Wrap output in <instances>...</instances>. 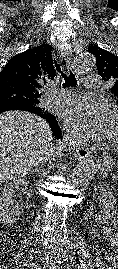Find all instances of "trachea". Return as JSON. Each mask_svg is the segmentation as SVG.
<instances>
[{
	"label": "trachea",
	"mask_w": 118,
	"mask_h": 269,
	"mask_svg": "<svg viewBox=\"0 0 118 269\" xmlns=\"http://www.w3.org/2000/svg\"><path fill=\"white\" fill-rule=\"evenodd\" d=\"M56 69L58 72H60L61 76L64 78V83H63V88L67 87H76L77 86V80L75 75L71 72L68 71L66 68V62L64 58L61 60H54Z\"/></svg>",
	"instance_id": "trachea-1"
}]
</instances>
